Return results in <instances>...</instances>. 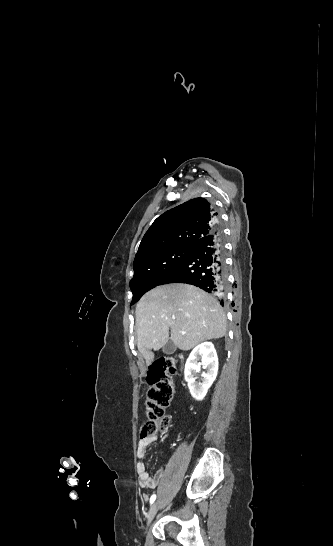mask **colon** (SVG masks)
I'll list each match as a JSON object with an SVG mask.
<instances>
[{
  "mask_svg": "<svg viewBox=\"0 0 333 546\" xmlns=\"http://www.w3.org/2000/svg\"><path fill=\"white\" fill-rule=\"evenodd\" d=\"M176 372L173 359L155 361L147 374L149 384L146 400V421L142 427L143 438L154 436L157 432H165L170 426V420L165 416L174 396L172 375Z\"/></svg>",
  "mask_w": 333,
  "mask_h": 546,
  "instance_id": "5ec220e1",
  "label": "colon"
}]
</instances>
